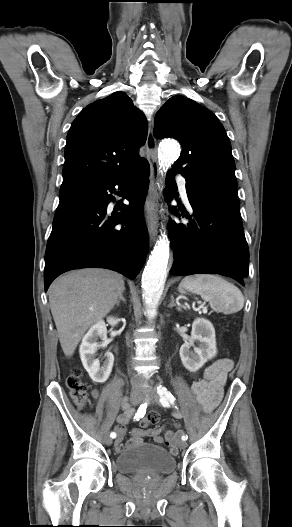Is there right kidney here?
I'll return each instance as SVG.
<instances>
[{"instance_id":"obj_1","label":"right kidney","mask_w":292,"mask_h":527,"mask_svg":"<svg viewBox=\"0 0 292 527\" xmlns=\"http://www.w3.org/2000/svg\"><path fill=\"white\" fill-rule=\"evenodd\" d=\"M107 322L110 325H116L118 320L114 317H109ZM106 334L107 329L105 322L103 320L98 321L83 337L79 349L80 358L84 368L89 373L90 378L97 383H103L108 379L114 363V356L111 352H106V359L102 365H100L99 359L95 358V353L101 345L97 341L99 338L102 339V345H104L107 339Z\"/></svg>"}]
</instances>
